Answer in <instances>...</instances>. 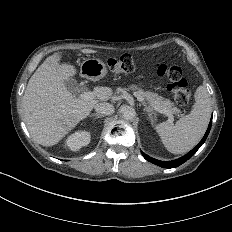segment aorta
<instances>
[{"label":"aorta","instance_id":"1","mask_svg":"<svg viewBox=\"0 0 232 232\" xmlns=\"http://www.w3.org/2000/svg\"><path fill=\"white\" fill-rule=\"evenodd\" d=\"M121 113L124 120H134L136 117V111L132 106H128V105L122 106Z\"/></svg>","mask_w":232,"mask_h":232}]
</instances>
